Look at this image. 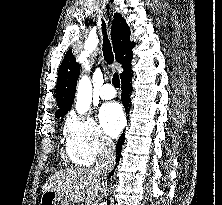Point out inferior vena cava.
<instances>
[{"mask_svg":"<svg viewBox=\"0 0 222 205\" xmlns=\"http://www.w3.org/2000/svg\"><path fill=\"white\" fill-rule=\"evenodd\" d=\"M115 165V143L106 138L103 143V149L96 161L94 171L100 176H106Z\"/></svg>","mask_w":222,"mask_h":205,"instance_id":"1","label":"inferior vena cava"}]
</instances>
